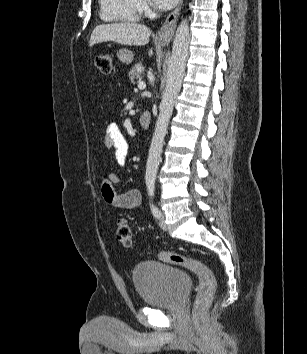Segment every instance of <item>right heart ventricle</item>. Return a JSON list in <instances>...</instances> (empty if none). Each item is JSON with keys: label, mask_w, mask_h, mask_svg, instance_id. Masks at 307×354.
Returning <instances> with one entry per match:
<instances>
[{"label": "right heart ventricle", "mask_w": 307, "mask_h": 354, "mask_svg": "<svg viewBox=\"0 0 307 354\" xmlns=\"http://www.w3.org/2000/svg\"><path fill=\"white\" fill-rule=\"evenodd\" d=\"M100 17L106 22H137L141 17L138 0H100Z\"/></svg>", "instance_id": "e07e8e85"}]
</instances>
